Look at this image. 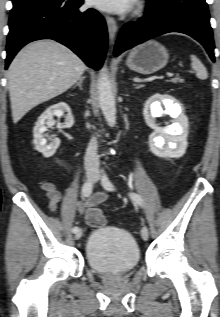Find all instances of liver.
Here are the masks:
<instances>
[{
  "mask_svg": "<svg viewBox=\"0 0 220 317\" xmlns=\"http://www.w3.org/2000/svg\"><path fill=\"white\" fill-rule=\"evenodd\" d=\"M84 62L70 49L52 40L25 46L8 69V89L13 122L33 107L74 85L85 71Z\"/></svg>",
  "mask_w": 220,
  "mask_h": 317,
  "instance_id": "liver-1",
  "label": "liver"
}]
</instances>
